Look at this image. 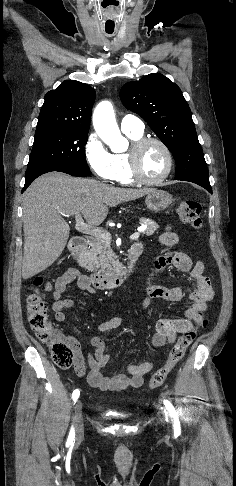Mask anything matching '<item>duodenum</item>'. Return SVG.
<instances>
[{
    "instance_id": "duodenum-1",
    "label": "duodenum",
    "mask_w": 236,
    "mask_h": 486,
    "mask_svg": "<svg viewBox=\"0 0 236 486\" xmlns=\"http://www.w3.org/2000/svg\"><path fill=\"white\" fill-rule=\"evenodd\" d=\"M87 240L84 237H73L69 244L71 256L75 262H79L85 249ZM141 254V247L134 244L129 249V263L111 274L92 273L86 276L89 285L98 290L114 289L121 286L133 271L136 259Z\"/></svg>"
}]
</instances>
